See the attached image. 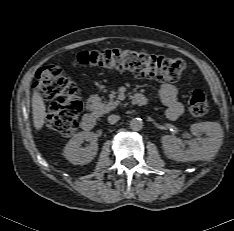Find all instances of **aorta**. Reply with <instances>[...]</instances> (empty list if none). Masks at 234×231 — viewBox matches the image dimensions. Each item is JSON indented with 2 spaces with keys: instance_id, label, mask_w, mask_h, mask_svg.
<instances>
[{
  "instance_id": "1",
  "label": "aorta",
  "mask_w": 234,
  "mask_h": 231,
  "mask_svg": "<svg viewBox=\"0 0 234 231\" xmlns=\"http://www.w3.org/2000/svg\"><path fill=\"white\" fill-rule=\"evenodd\" d=\"M129 125L133 131H139L143 128V121L141 118H133Z\"/></svg>"
}]
</instances>
